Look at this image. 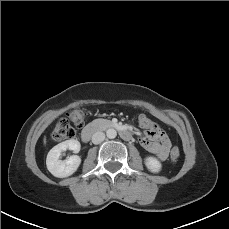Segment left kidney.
I'll use <instances>...</instances> for the list:
<instances>
[{
	"label": "left kidney",
	"instance_id": "1",
	"mask_svg": "<svg viewBox=\"0 0 229 229\" xmlns=\"http://www.w3.org/2000/svg\"><path fill=\"white\" fill-rule=\"evenodd\" d=\"M145 165L148 168V170L153 173L160 172L162 168L161 162L157 158L151 156L145 159Z\"/></svg>",
	"mask_w": 229,
	"mask_h": 229
}]
</instances>
